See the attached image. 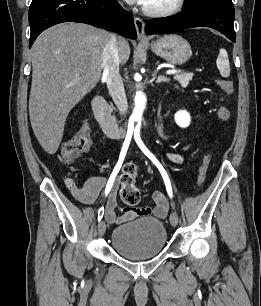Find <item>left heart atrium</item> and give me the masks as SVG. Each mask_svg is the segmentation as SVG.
Segmentation results:
<instances>
[{"mask_svg":"<svg viewBox=\"0 0 261 306\" xmlns=\"http://www.w3.org/2000/svg\"><path fill=\"white\" fill-rule=\"evenodd\" d=\"M125 1H127L128 3H136L146 6L149 0H125Z\"/></svg>","mask_w":261,"mask_h":306,"instance_id":"obj_1","label":"left heart atrium"}]
</instances>
